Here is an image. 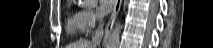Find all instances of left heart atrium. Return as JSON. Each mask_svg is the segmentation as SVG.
I'll use <instances>...</instances> for the list:
<instances>
[{
  "label": "left heart atrium",
  "mask_w": 213,
  "mask_h": 48,
  "mask_svg": "<svg viewBox=\"0 0 213 48\" xmlns=\"http://www.w3.org/2000/svg\"><path fill=\"white\" fill-rule=\"evenodd\" d=\"M114 0H100L99 1V12L102 15L108 14L114 7Z\"/></svg>",
  "instance_id": "1"
}]
</instances>
